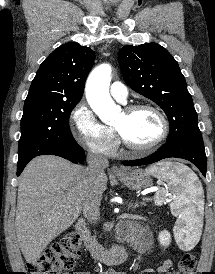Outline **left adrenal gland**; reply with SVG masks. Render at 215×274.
<instances>
[{
  "instance_id": "left-adrenal-gland-1",
  "label": "left adrenal gland",
  "mask_w": 215,
  "mask_h": 274,
  "mask_svg": "<svg viewBox=\"0 0 215 274\" xmlns=\"http://www.w3.org/2000/svg\"><path fill=\"white\" fill-rule=\"evenodd\" d=\"M140 205H142V203H138L136 202L134 205L133 203H130V206L135 210L136 208H138Z\"/></svg>"
}]
</instances>
